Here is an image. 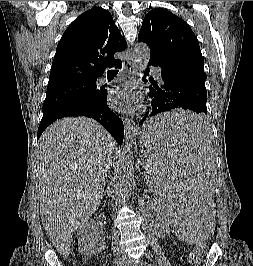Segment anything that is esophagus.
<instances>
[{
  "label": "esophagus",
  "instance_id": "obj_1",
  "mask_svg": "<svg viewBox=\"0 0 253 266\" xmlns=\"http://www.w3.org/2000/svg\"><path fill=\"white\" fill-rule=\"evenodd\" d=\"M128 77H133L135 75V60L130 49L127 51V60L124 65ZM124 134L126 140L132 139L136 134V125L131 118H124Z\"/></svg>",
  "mask_w": 253,
  "mask_h": 266
}]
</instances>
